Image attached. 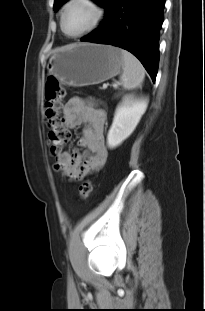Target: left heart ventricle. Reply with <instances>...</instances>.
<instances>
[{"mask_svg": "<svg viewBox=\"0 0 205 311\" xmlns=\"http://www.w3.org/2000/svg\"><path fill=\"white\" fill-rule=\"evenodd\" d=\"M95 18V11L85 3L72 4L66 13L64 27L68 34L74 35L88 28Z\"/></svg>", "mask_w": 205, "mask_h": 311, "instance_id": "1", "label": "left heart ventricle"}]
</instances>
